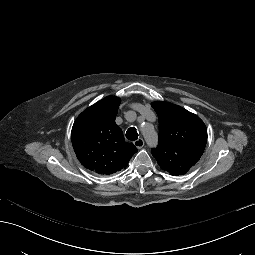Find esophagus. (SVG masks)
Here are the masks:
<instances>
[{"instance_id": "1", "label": "esophagus", "mask_w": 255, "mask_h": 255, "mask_svg": "<svg viewBox=\"0 0 255 255\" xmlns=\"http://www.w3.org/2000/svg\"><path fill=\"white\" fill-rule=\"evenodd\" d=\"M134 145L138 148L141 149L144 146V140L142 138H139L138 140L134 141Z\"/></svg>"}]
</instances>
